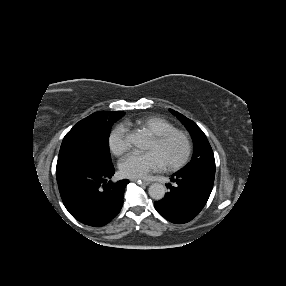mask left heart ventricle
<instances>
[{
  "label": "left heart ventricle",
  "mask_w": 286,
  "mask_h": 286,
  "mask_svg": "<svg viewBox=\"0 0 286 286\" xmlns=\"http://www.w3.org/2000/svg\"><path fill=\"white\" fill-rule=\"evenodd\" d=\"M156 154L163 166L179 161L187 150L186 139L182 135H174L164 143H156L152 138L145 148Z\"/></svg>",
  "instance_id": "1"
}]
</instances>
